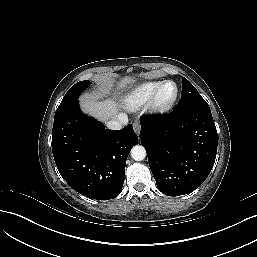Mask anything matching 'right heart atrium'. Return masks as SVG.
I'll return each mask as SVG.
<instances>
[{
	"label": "right heart atrium",
	"instance_id": "1",
	"mask_svg": "<svg viewBox=\"0 0 257 257\" xmlns=\"http://www.w3.org/2000/svg\"><path fill=\"white\" fill-rule=\"evenodd\" d=\"M122 108H126L124 105H121ZM128 109V108H127Z\"/></svg>",
	"mask_w": 257,
	"mask_h": 257
}]
</instances>
